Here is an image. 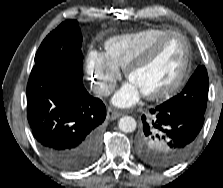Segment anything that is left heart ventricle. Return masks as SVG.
I'll list each match as a JSON object with an SVG mask.
<instances>
[{
  "label": "left heart ventricle",
  "mask_w": 223,
  "mask_h": 188,
  "mask_svg": "<svg viewBox=\"0 0 223 188\" xmlns=\"http://www.w3.org/2000/svg\"><path fill=\"white\" fill-rule=\"evenodd\" d=\"M184 53L183 40L179 36L169 37L145 63L132 72L130 82L142 94L164 88L177 77Z\"/></svg>",
  "instance_id": "obj_1"
}]
</instances>
